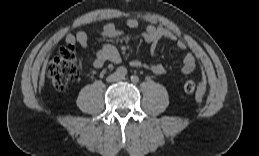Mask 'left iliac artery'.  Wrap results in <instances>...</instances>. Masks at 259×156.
<instances>
[{"instance_id": "obj_1", "label": "left iliac artery", "mask_w": 259, "mask_h": 156, "mask_svg": "<svg viewBox=\"0 0 259 156\" xmlns=\"http://www.w3.org/2000/svg\"><path fill=\"white\" fill-rule=\"evenodd\" d=\"M131 81H132L133 83H138V82H139V77H138L137 75H132V76H131Z\"/></svg>"}]
</instances>
